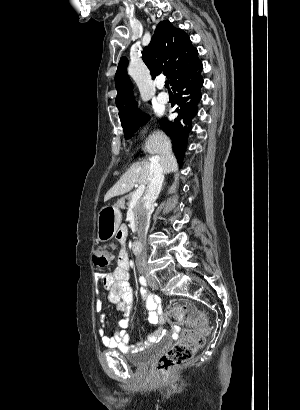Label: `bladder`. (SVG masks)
<instances>
[{
  "label": "bladder",
  "instance_id": "1",
  "mask_svg": "<svg viewBox=\"0 0 300 410\" xmlns=\"http://www.w3.org/2000/svg\"><path fill=\"white\" fill-rule=\"evenodd\" d=\"M154 355H155V349L147 348L138 355H129V356H126L124 359L132 366L143 367V366H146L151 361Z\"/></svg>",
  "mask_w": 300,
  "mask_h": 410
}]
</instances>
